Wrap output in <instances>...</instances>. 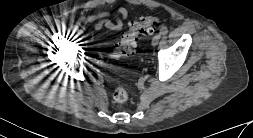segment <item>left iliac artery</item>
<instances>
[{"mask_svg":"<svg viewBox=\"0 0 253 138\" xmlns=\"http://www.w3.org/2000/svg\"><path fill=\"white\" fill-rule=\"evenodd\" d=\"M167 33H168L167 27H162L161 30H160V34L161 35H166Z\"/></svg>","mask_w":253,"mask_h":138,"instance_id":"44dca946","label":"left iliac artery"}]
</instances>
